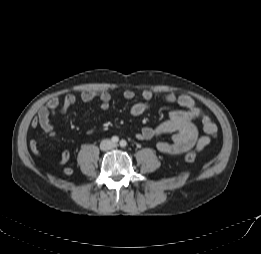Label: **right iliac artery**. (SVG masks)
<instances>
[{
  "label": "right iliac artery",
  "instance_id": "1",
  "mask_svg": "<svg viewBox=\"0 0 261 254\" xmlns=\"http://www.w3.org/2000/svg\"><path fill=\"white\" fill-rule=\"evenodd\" d=\"M111 141H112L113 143H117V142L119 141V138H118L117 136H113L112 139H111Z\"/></svg>",
  "mask_w": 261,
  "mask_h": 254
}]
</instances>
